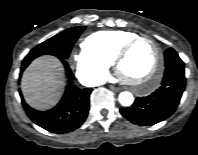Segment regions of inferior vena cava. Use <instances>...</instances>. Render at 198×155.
Returning a JSON list of instances; mask_svg holds the SVG:
<instances>
[{"mask_svg":"<svg viewBox=\"0 0 198 155\" xmlns=\"http://www.w3.org/2000/svg\"><path fill=\"white\" fill-rule=\"evenodd\" d=\"M81 83L88 87H94L104 84V80L98 78H87L81 81Z\"/></svg>","mask_w":198,"mask_h":155,"instance_id":"1","label":"inferior vena cava"}]
</instances>
